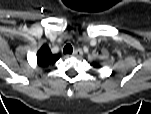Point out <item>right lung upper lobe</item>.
<instances>
[{
    "instance_id": "cb5924a9",
    "label": "right lung upper lobe",
    "mask_w": 151,
    "mask_h": 114,
    "mask_svg": "<svg viewBox=\"0 0 151 114\" xmlns=\"http://www.w3.org/2000/svg\"><path fill=\"white\" fill-rule=\"evenodd\" d=\"M60 58L59 54H52L47 45H43L37 52V62L41 67L54 64Z\"/></svg>"
}]
</instances>
